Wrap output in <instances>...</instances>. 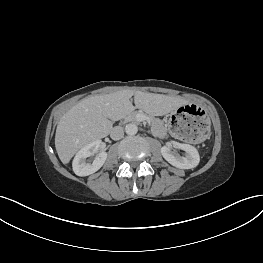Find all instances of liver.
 I'll return each instance as SVG.
<instances>
[{
    "label": "liver",
    "instance_id": "6515ba94",
    "mask_svg": "<svg viewBox=\"0 0 263 263\" xmlns=\"http://www.w3.org/2000/svg\"><path fill=\"white\" fill-rule=\"evenodd\" d=\"M132 96L135 106L130 101ZM184 104L181 97L133 90L84 98L59 120L55 134L56 151L61 162L67 164L79 149L109 135L113 126L111 120H119L135 108L161 116Z\"/></svg>",
    "mask_w": 263,
    "mask_h": 263
}]
</instances>
